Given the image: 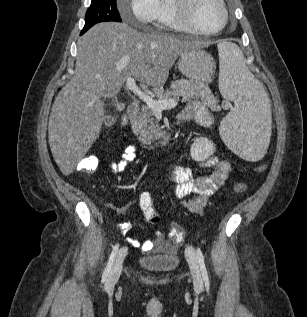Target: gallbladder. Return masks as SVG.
<instances>
[{
	"mask_svg": "<svg viewBox=\"0 0 307 317\" xmlns=\"http://www.w3.org/2000/svg\"><path fill=\"white\" fill-rule=\"evenodd\" d=\"M104 123L106 126H110L113 123V117L110 114L105 115Z\"/></svg>",
	"mask_w": 307,
	"mask_h": 317,
	"instance_id": "gallbladder-1",
	"label": "gallbladder"
}]
</instances>
